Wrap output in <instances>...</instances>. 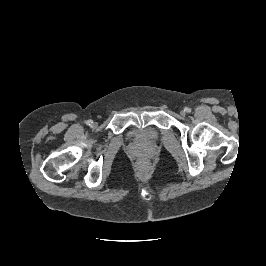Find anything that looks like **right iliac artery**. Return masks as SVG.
Instances as JSON below:
<instances>
[{"label":"right iliac artery","instance_id":"1","mask_svg":"<svg viewBox=\"0 0 266 266\" xmlns=\"http://www.w3.org/2000/svg\"><path fill=\"white\" fill-rule=\"evenodd\" d=\"M92 123H93L92 120H88V121L86 122L87 125H91Z\"/></svg>","mask_w":266,"mask_h":266}]
</instances>
